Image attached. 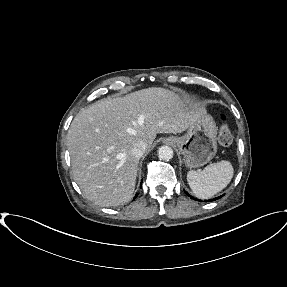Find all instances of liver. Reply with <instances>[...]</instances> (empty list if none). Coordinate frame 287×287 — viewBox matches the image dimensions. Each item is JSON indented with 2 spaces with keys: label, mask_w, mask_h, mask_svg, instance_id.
<instances>
[{
  "label": "liver",
  "mask_w": 287,
  "mask_h": 287,
  "mask_svg": "<svg viewBox=\"0 0 287 287\" xmlns=\"http://www.w3.org/2000/svg\"><path fill=\"white\" fill-rule=\"evenodd\" d=\"M205 108L175 91L149 87L124 97H108L82 108L67 134L73 178L84 196L103 207L131 200L140 141L146 151L158 133H182Z\"/></svg>",
  "instance_id": "obj_1"
}]
</instances>
